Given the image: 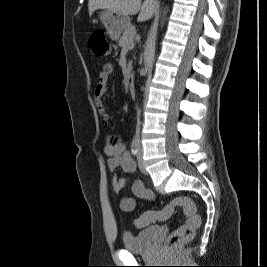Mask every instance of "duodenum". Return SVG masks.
<instances>
[{
  "label": "duodenum",
  "instance_id": "1",
  "mask_svg": "<svg viewBox=\"0 0 267 267\" xmlns=\"http://www.w3.org/2000/svg\"><path fill=\"white\" fill-rule=\"evenodd\" d=\"M127 84H128V89H129L131 96H135L136 90H135V82H134V75L133 74H130L128 76Z\"/></svg>",
  "mask_w": 267,
  "mask_h": 267
}]
</instances>
